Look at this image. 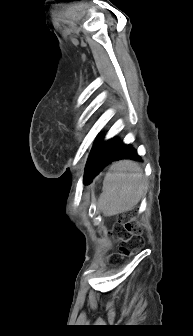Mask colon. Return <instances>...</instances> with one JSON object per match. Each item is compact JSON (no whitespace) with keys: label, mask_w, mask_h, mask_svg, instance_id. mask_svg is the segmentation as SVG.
Returning a JSON list of instances; mask_svg holds the SVG:
<instances>
[{"label":"colon","mask_w":193,"mask_h":336,"mask_svg":"<svg viewBox=\"0 0 193 336\" xmlns=\"http://www.w3.org/2000/svg\"><path fill=\"white\" fill-rule=\"evenodd\" d=\"M119 223L122 224L125 229V234L121 235L124 245L120 248V252L124 256H130L140 245L138 237L142 233V228L129 216L120 218Z\"/></svg>","instance_id":"5ec220e1"}]
</instances>
